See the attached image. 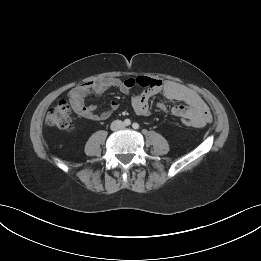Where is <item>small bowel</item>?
Returning a JSON list of instances; mask_svg holds the SVG:
<instances>
[{"mask_svg": "<svg viewBox=\"0 0 261 261\" xmlns=\"http://www.w3.org/2000/svg\"><path fill=\"white\" fill-rule=\"evenodd\" d=\"M134 87L144 88L140 95L132 97L131 104L134 112L139 116L150 114V100L155 95H162L169 102L179 101L184 104L175 105L171 108L174 116L189 119L194 127H203L210 123L212 116L202 97L194 90L179 83L155 79L148 76H136L126 79L107 77L89 81L71 89L68 98L73 110L80 116L94 120H105L118 109V103L111 101L109 108L100 113L96 112L95 104L87 105L85 98L90 95L100 96L110 88H117L122 93L128 94ZM158 108L166 111L164 103H159Z\"/></svg>", "mask_w": 261, "mask_h": 261, "instance_id": "1", "label": "small bowel"}]
</instances>
